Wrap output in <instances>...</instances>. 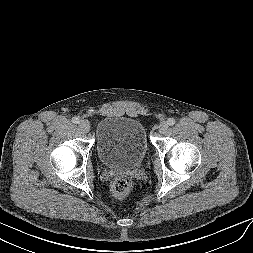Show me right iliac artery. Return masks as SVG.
<instances>
[{
	"instance_id": "1",
	"label": "right iliac artery",
	"mask_w": 253,
	"mask_h": 253,
	"mask_svg": "<svg viewBox=\"0 0 253 253\" xmlns=\"http://www.w3.org/2000/svg\"><path fill=\"white\" fill-rule=\"evenodd\" d=\"M72 122L75 123V124L79 123V118L78 117H73Z\"/></svg>"
}]
</instances>
